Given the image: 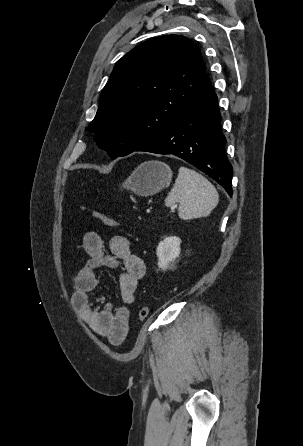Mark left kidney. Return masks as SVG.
I'll use <instances>...</instances> for the list:
<instances>
[{
  "label": "left kidney",
  "instance_id": "1",
  "mask_svg": "<svg viewBox=\"0 0 303 446\" xmlns=\"http://www.w3.org/2000/svg\"><path fill=\"white\" fill-rule=\"evenodd\" d=\"M180 238L176 236L166 237L158 244L156 254L158 257V267L166 270L171 262L180 254Z\"/></svg>",
  "mask_w": 303,
  "mask_h": 446
}]
</instances>
